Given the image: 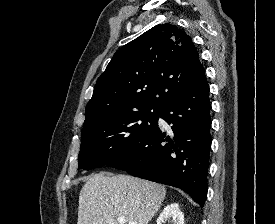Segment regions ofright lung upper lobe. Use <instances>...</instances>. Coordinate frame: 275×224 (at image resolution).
I'll use <instances>...</instances> for the list:
<instances>
[{
  "label": "right lung upper lobe",
  "instance_id": "right-lung-upper-lobe-1",
  "mask_svg": "<svg viewBox=\"0 0 275 224\" xmlns=\"http://www.w3.org/2000/svg\"><path fill=\"white\" fill-rule=\"evenodd\" d=\"M202 73L190 36L156 25L114 54L86 106L83 129L132 111L162 110Z\"/></svg>",
  "mask_w": 275,
  "mask_h": 224
}]
</instances>
